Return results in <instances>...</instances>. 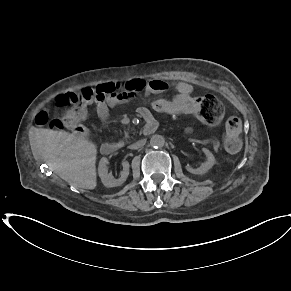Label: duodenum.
<instances>
[{"label": "duodenum", "mask_w": 291, "mask_h": 291, "mask_svg": "<svg viewBox=\"0 0 291 291\" xmlns=\"http://www.w3.org/2000/svg\"><path fill=\"white\" fill-rule=\"evenodd\" d=\"M156 130V121L153 117L147 118V123L144 127V132L146 134H151ZM117 150V145L114 143L106 142L101 146V152L104 155H110Z\"/></svg>", "instance_id": "obj_1"}]
</instances>
